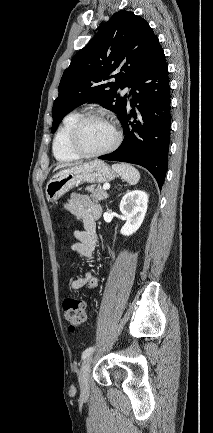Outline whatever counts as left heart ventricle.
<instances>
[{"label": "left heart ventricle", "mask_w": 213, "mask_h": 433, "mask_svg": "<svg viewBox=\"0 0 213 433\" xmlns=\"http://www.w3.org/2000/svg\"><path fill=\"white\" fill-rule=\"evenodd\" d=\"M115 134L109 124L102 120L87 121L79 135L81 147L88 152H98L108 148L114 141Z\"/></svg>", "instance_id": "1"}]
</instances>
